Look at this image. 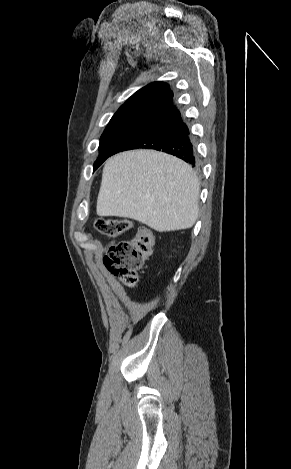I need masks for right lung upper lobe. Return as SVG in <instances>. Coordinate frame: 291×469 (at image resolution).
<instances>
[{
	"mask_svg": "<svg viewBox=\"0 0 291 469\" xmlns=\"http://www.w3.org/2000/svg\"><path fill=\"white\" fill-rule=\"evenodd\" d=\"M172 103L173 92L169 85L153 82L134 93L116 113L139 112L154 116Z\"/></svg>",
	"mask_w": 291,
	"mask_h": 469,
	"instance_id": "obj_1",
	"label": "right lung upper lobe"
}]
</instances>
